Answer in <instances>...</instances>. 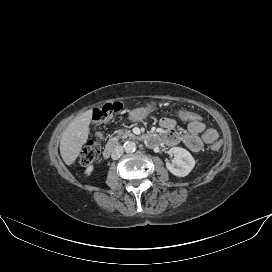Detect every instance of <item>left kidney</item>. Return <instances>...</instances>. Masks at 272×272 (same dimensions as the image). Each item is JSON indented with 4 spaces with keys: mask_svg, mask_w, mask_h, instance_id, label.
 Here are the masks:
<instances>
[{
    "mask_svg": "<svg viewBox=\"0 0 272 272\" xmlns=\"http://www.w3.org/2000/svg\"><path fill=\"white\" fill-rule=\"evenodd\" d=\"M168 153L174 156L172 163L167 162V169L177 177L187 176L195 166V160L186 149L173 147Z\"/></svg>",
    "mask_w": 272,
    "mask_h": 272,
    "instance_id": "5707ae66",
    "label": "left kidney"
}]
</instances>
